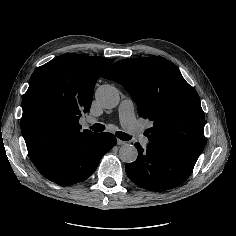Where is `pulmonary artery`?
<instances>
[{"mask_svg":"<svg viewBox=\"0 0 236 236\" xmlns=\"http://www.w3.org/2000/svg\"><path fill=\"white\" fill-rule=\"evenodd\" d=\"M133 101L131 99H126L121 102L119 106V117L121 124L126 127L128 132L134 137L139 138L142 135V130L137 125L134 115H133ZM141 145L146 147L149 144V139L147 137H143L141 139Z\"/></svg>","mask_w":236,"mask_h":236,"instance_id":"1","label":"pulmonary artery"}]
</instances>
